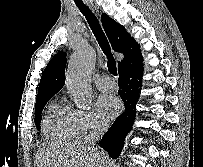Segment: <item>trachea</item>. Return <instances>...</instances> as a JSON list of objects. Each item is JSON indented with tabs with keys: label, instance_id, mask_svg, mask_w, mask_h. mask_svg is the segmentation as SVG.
Wrapping results in <instances>:
<instances>
[{
	"label": "trachea",
	"instance_id": "3493384b",
	"mask_svg": "<svg viewBox=\"0 0 203 167\" xmlns=\"http://www.w3.org/2000/svg\"><path fill=\"white\" fill-rule=\"evenodd\" d=\"M79 10L82 12V14L86 17L90 28L92 29L102 51L107 57V67L109 72L117 76V67H116V61L113 57V54L111 53V48L109 45V42L99 24L98 19L96 16L90 11V9L83 3H76Z\"/></svg>",
	"mask_w": 203,
	"mask_h": 167
}]
</instances>
